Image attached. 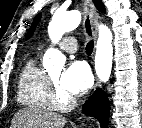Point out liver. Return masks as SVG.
Here are the masks:
<instances>
[{
	"label": "liver",
	"instance_id": "6515ba94",
	"mask_svg": "<svg viewBox=\"0 0 142 128\" xmlns=\"http://www.w3.org/2000/svg\"><path fill=\"white\" fill-rule=\"evenodd\" d=\"M62 115L40 108H23L13 117L11 128H64Z\"/></svg>",
	"mask_w": 142,
	"mask_h": 128
}]
</instances>
